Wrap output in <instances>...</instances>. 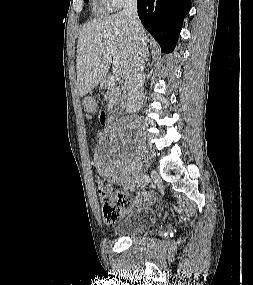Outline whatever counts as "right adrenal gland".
<instances>
[{"instance_id":"1","label":"right adrenal gland","mask_w":253,"mask_h":285,"mask_svg":"<svg viewBox=\"0 0 253 285\" xmlns=\"http://www.w3.org/2000/svg\"><path fill=\"white\" fill-rule=\"evenodd\" d=\"M148 57H149V55L147 54V55L145 56V61H146V62L148 61Z\"/></svg>"}]
</instances>
